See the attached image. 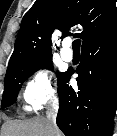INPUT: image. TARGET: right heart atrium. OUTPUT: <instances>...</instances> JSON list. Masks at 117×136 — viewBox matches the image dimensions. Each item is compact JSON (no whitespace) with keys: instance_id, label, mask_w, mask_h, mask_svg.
Listing matches in <instances>:
<instances>
[{"instance_id":"right-heart-atrium-1","label":"right heart atrium","mask_w":117,"mask_h":136,"mask_svg":"<svg viewBox=\"0 0 117 136\" xmlns=\"http://www.w3.org/2000/svg\"><path fill=\"white\" fill-rule=\"evenodd\" d=\"M56 92V83L51 72L45 67H39L25 86L24 98L30 106L40 108L54 99Z\"/></svg>"}]
</instances>
